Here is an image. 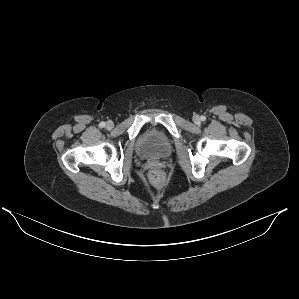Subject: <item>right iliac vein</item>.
Here are the masks:
<instances>
[{
    "label": "right iliac vein",
    "instance_id": "1",
    "mask_svg": "<svg viewBox=\"0 0 299 299\" xmlns=\"http://www.w3.org/2000/svg\"><path fill=\"white\" fill-rule=\"evenodd\" d=\"M113 126H114V123H113L112 121H108V122L106 123V128H107V129H112Z\"/></svg>",
    "mask_w": 299,
    "mask_h": 299
}]
</instances>
